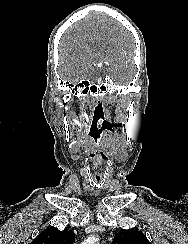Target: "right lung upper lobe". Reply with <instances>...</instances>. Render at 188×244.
Returning <instances> with one entry per match:
<instances>
[{
    "mask_svg": "<svg viewBox=\"0 0 188 244\" xmlns=\"http://www.w3.org/2000/svg\"><path fill=\"white\" fill-rule=\"evenodd\" d=\"M75 234L72 230L65 228L63 231L50 227L42 231L29 244H73Z\"/></svg>",
    "mask_w": 188,
    "mask_h": 244,
    "instance_id": "cb5924a9",
    "label": "right lung upper lobe"
}]
</instances>
